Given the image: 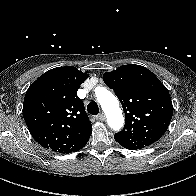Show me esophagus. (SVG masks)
Wrapping results in <instances>:
<instances>
[{
	"mask_svg": "<svg viewBox=\"0 0 196 196\" xmlns=\"http://www.w3.org/2000/svg\"><path fill=\"white\" fill-rule=\"evenodd\" d=\"M95 119H96L97 121H104V120H105V115H104L103 113H101V114L97 115V116L95 117Z\"/></svg>",
	"mask_w": 196,
	"mask_h": 196,
	"instance_id": "34e87169",
	"label": "esophagus"
}]
</instances>
